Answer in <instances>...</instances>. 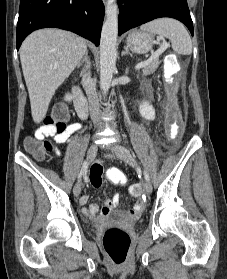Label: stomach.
<instances>
[{
    "label": "stomach",
    "mask_w": 227,
    "mask_h": 279,
    "mask_svg": "<svg viewBox=\"0 0 227 279\" xmlns=\"http://www.w3.org/2000/svg\"><path fill=\"white\" fill-rule=\"evenodd\" d=\"M126 42L133 53L144 54L152 49L153 36L147 32L134 31L128 35Z\"/></svg>",
    "instance_id": "1"
}]
</instances>
